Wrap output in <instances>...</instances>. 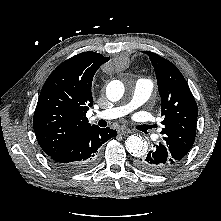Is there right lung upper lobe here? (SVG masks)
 Returning <instances> with one entry per match:
<instances>
[{
    "instance_id": "right-lung-upper-lobe-1",
    "label": "right lung upper lobe",
    "mask_w": 221,
    "mask_h": 221,
    "mask_svg": "<svg viewBox=\"0 0 221 221\" xmlns=\"http://www.w3.org/2000/svg\"><path fill=\"white\" fill-rule=\"evenodd\" d=\"M109 59L95 52L80 53L61 63L44 83L33 127L48 156L94 126L86 118L93 105L92 80Z\"/></svg>"
}]
</instances>
